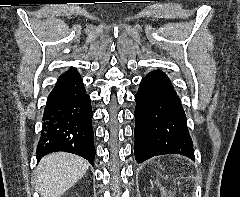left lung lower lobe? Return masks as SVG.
Masks as SVG:
<instances>
[{"instance_id": "obj_1", "label": "left lung lower lobe", "mask_w": 240, "mask_h": 197, "mask_svg": "<svg viewBox=\"0 0 240 197\" xmlns=\"http://www.w3.org/2000/svg\"><path fill=\"white\" fill-rule=\"evenodd\" d=\"M135 101L134 153L138 163L163 154L195 160L186 115L166 74L157 70L143 78Z\"/></svg>"}]
</instances>
